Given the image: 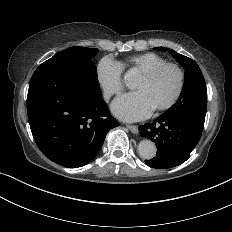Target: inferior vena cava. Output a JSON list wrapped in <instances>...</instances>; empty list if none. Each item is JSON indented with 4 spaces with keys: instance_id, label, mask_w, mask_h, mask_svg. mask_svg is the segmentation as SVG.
<instances>
[{
    "instance_id": "1",
    "label": "inferior vena cava",
    "mask_w": 232,
    "mask_h": 232,
    "mask_svg": "<svg viewBox=\"0 0 232 232\" xmlns=\"http://www.w3.org/2000/svg\"><path fill=\"white\" fill-rule=\"evenodd\" d=\"M104 97H105L106 100H108L109 99V93H104Z\"/></svg>"
}]
</instances>
